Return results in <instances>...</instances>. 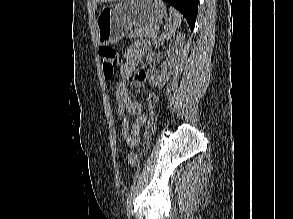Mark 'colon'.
Listing matches in <instances>:
<instances>
[{
  "mask_svg": "<svg viewBox=\"0 0 293 219\" xmlns=\"http://www.w3.org/2000/svg\"><path fill=\"white\" fill-rule=\"evenodd\" d=\"M99 56L102 62L105 78L107 79L113 78L119 64V56L117 52L110 47H102L99 50ZM137 162H138V156L136 154H130L128 156V163L130 165H136Z\"/></svg>",
  "mask_w": 293,
  "mask_h": 219,
  "instance_id": "colon-1",
  "label": "colon"
}]
</instances>
